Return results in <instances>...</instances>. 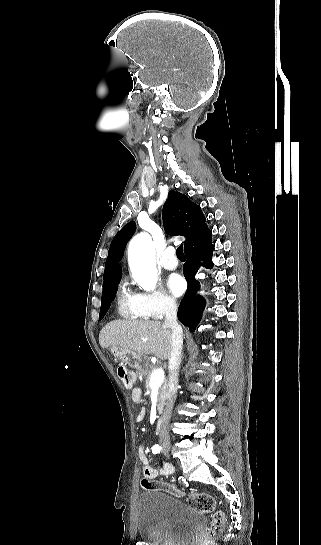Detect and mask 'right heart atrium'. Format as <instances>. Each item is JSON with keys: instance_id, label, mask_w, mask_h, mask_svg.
<instances>
[{"instance_id": "1", "label": "right heart atrium", "mask_w": 321, "mask_h": 545, "mask_svg": "<svg viewBox=\"0 0 321 545\" xmlns=\"http://www.w3.org/2000/svg\"><path fill=\"white\" fill-rule=\"evenodd\" d=\"M136 306L140 313L150 320H161L174 313L177 302L159 290L148 293L133 294Z\"/></svg>"}]
</instances>
